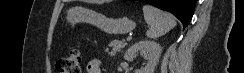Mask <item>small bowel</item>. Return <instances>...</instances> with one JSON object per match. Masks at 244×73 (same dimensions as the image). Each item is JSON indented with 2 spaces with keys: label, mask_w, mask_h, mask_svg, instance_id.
Instances as JSON below:
<instances>
[{
  "label": "small bowel",
  "mask_w": 244,
  "mask_h": 73,
  "mask_svg": "<svg viewBox=\"0 0 244 73\" xmlns=\"http://www.w3.org/2000/svg\"><path fill=\"white\" fill-rule=\"evenodd\" d=\"M87 73H101V62L98 59H92L87 63Z\"/></svg>",
  "instance_id": "obj_1"
}]
</instances>
